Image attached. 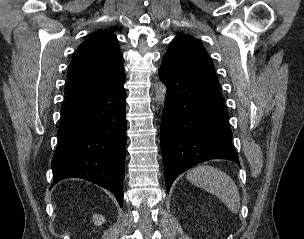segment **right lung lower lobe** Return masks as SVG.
I'll use <instances>...</instances> for the list:
<instances>
[{"mask_svg":"<svg viewBox=\"0 0 304 239\" xmlns=\"http://www.w3.org/2000/svg\"><path fill=\"white\" fill-rule=\"evenodd\" d=\"M124 83L125 73L65 103L52 160V186L64 178H83L110 190L122 207L127 127Z\"/></svg>","mask_w":304,"mask_h":239,"instance_id":"obj_1","label":"right lung lower lobe"}]
</instances>
